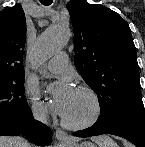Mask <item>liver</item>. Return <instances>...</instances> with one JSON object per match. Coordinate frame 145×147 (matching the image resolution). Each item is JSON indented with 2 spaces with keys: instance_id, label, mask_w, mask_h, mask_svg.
Instances as JSON below:
<instances>
[{
  "instance_id": "liver-1",
  "label": "liver",
  "mask_w": 145,
  "mask_h": 147,
  "mask_svg": "<svg viewBox=\"0 0 145 147\" xmlns=\"http://www.w3.org/2000/svg\"><path fill=\"white\" fill-rule=\"evenodd\" d=\"M99 138H96V142ZM0 147H30V145L21 137L0 136Z\"/></svg>"
}]
</instances>
